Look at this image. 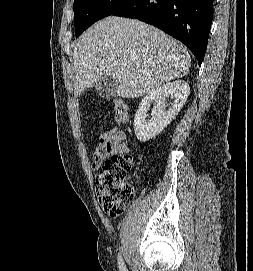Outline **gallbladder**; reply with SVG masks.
<instances>
[{
  "label": "gallbladder",
  "instance_id": "bac80fb5",
  "mask_svg": "<svg viewBox=\"0 0 253 271\" xmlns=\"http://www.w3.org/2000/svg\"><path fill=\"white\" fill-rule=\"evenodd\" d=\"M97 94L102 98H110L116 95L118 82L112 77H102L95 86Z\"/></svg>",
  "mask_w": 253,
  "mask_h": 271
}]
</instances>
